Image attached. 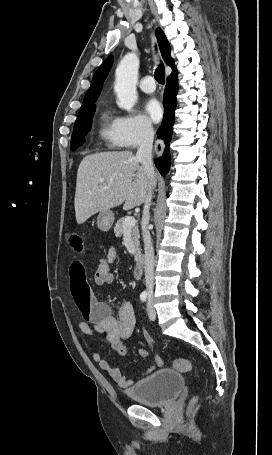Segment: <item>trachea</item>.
Returning a JSON list of instances; mask_svg holds the SVG:
<instances>
[{"instance_id":"1","label":"trachea","mask_w":272,"mask_h":455,"mask_svg":"<svg viewBox=\"0 0 272 455\" xmlns=\"http://www.w3.org/2000/svg\"><path fill=\"white\" fill-rule=\"evenodd\" d=\"M154 77L159 84H164L165 82V69L163 64H160L154 73Z\"/></svg>"}]
</instances>
